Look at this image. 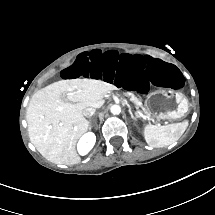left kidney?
Returning <instances> with one entry per match:
<instances>
[{
	"label": "left kidney",
	"mask_w": 215,
	"mask_h": 215,
	"mask_svg": "<svg viewBox=\"0 0 215 215\" xmlns=\"http://www.w3.org/2000/svg\"><path fill=\"white\" fill-rule=\"evenodd\" d=\"M137 132H138L139 134H142V130H141V127H140V126H137Z\"/></svg>",
	"instance_id": "obj_1"
}]
</instances>
